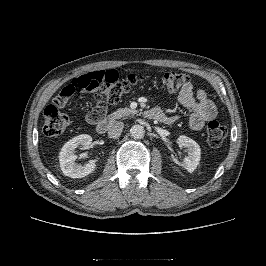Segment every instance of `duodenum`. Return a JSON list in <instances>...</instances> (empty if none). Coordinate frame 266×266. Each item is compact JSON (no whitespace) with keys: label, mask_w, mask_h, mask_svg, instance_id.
<instances>
[{"label":"duodenum","mask_w":266,"mask_h":266,"mask_svg":"<svg viewBox=\"0 0 266 266\" xmlns=\"http://www.w3.org/2000/svg\"><path fill=\"white\" fill-rule=\"evenodd\" d=\"M144 116L147 119L157 120V121H164L166 118L164 113L157 108H151L145 110ZM88 118L90 122L95 125L96 130L99 134L107 133L114 121V118L105 117L101 112L97 110L90 111L88 113Z\"/></svg>","instance_id":"410a0bca"}]
</instances>
